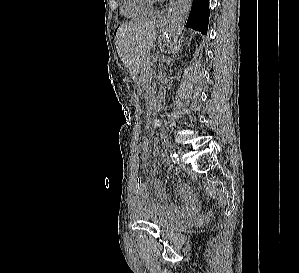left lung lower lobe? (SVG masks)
<instances>
[{
	"label": "left lung lower lobe",
	"instance_id": "left-lung-lower-lobe-1",
	"mask_svg": "<svg viewBox=\"0 0 299 273\" xmlns=\"http://www.w3.org/2000/svg\"><path fill=\"white\" fill-rule=\"evenodd\" d=\"M208 0H193L186 27L206 34L209 20Z\"/></svg>",
	"mask_w": 299,
	"mask_h": 273
}]
</instances>
